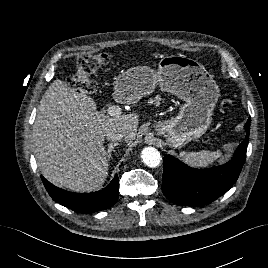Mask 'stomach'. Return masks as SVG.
Here are the masks:
<instances>
[{
  "label": "stomach",
  "mask_w": 268,
  "mask_h": 268,
  "mask_svg": "<svg viewBox=\"0 0 268 268\" xmlns=\"http://www.w3.org/2000/svg\"><path fill=\"white\" fill-rule=\"evenodd\" d=\"M159 85L185 101L176 117L159 121L155 130L173 148H181L200 138L209 128L219 88L212 75L198 61L185 55L164 56L155 72L148 66H137L119 75L115 94L123 102H136L151 95Z\"/></svg>",
  "instance_id": "stomach-1"
}]
</instances>
